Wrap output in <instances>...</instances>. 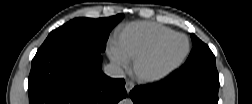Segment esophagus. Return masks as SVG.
<instances>
[{"mask_svg": "<svg viewBox=\"0 0 252 104\" xmlns=\"http://www.w3.org/2000/svg\"><path fill=\"white\" fill-rule=\"evenodd\" d=\"M135 84L133 81H126L125 88L127 92H130L134 88Z\"/></svg>", "mask_w": 252, "mask_h": 104, "instance_id": "esophagus-1", "label": "esophagus"}]
</instances>
